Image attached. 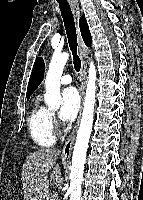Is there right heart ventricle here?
<instances>
[{
  "label": "right heart ventricle",
  "instance_id": "1",
  "mask_svg": "<svg viewBox=\"0 0 143 200\" xmlns=\"http://www.w3.org/2000/svg\"><path fill=\"white\" fill-rule=\"evenodd\" d=\"M50 114L49 109L41 104L39 98H35L28 117V130L32 140L39 147L46 148L55 143Z\"/></svg>",
  "mask_w": 143,
  "mask_h": 200
}]
</instances>
